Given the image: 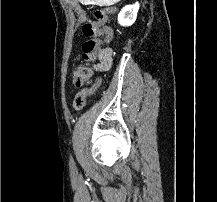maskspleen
Instances as JSON below:
<instances>
[{"label":"spleen","mask_w":217,"mask_h":202,"mask_svg":"<svg viewBox=\"0 0 217 202\" xmlns=\"http://www.w3.org/2000/svg\"><path fill=\"white\" fill-rule=\"evenodd\" d=\"M118 4V0H85V5H95L96 7H107L108 5Z\"/></svg>","instance_id":"spleen-1"}]
</instances>
